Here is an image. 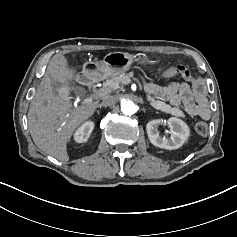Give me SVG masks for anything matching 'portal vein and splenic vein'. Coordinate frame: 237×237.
<instances>
[{
	"mask_svg": "<svg viewBox=\"0 0 237 237\" xmlns=\"http://www.w3.org/2000/svg\"><path fill=\"white\" fill-rule=\"evenodd\" d=\"M132 81V78H129L127 81H123V84H130ZM136 86V85H135Z\"/></svg>",
	"mask_w": 237,
	"mask_h": 237,
	"instance_id": "obj_1",
	"label": "portal vein and splenic vein"
}]
</instances>
